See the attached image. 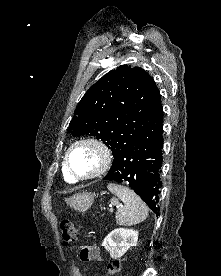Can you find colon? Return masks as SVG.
I'll use <instances>...</instances> for the list:
<instances>
[{
	"label": "colon",
	"instance_id": "colon-1",
	"mask_svg": "<svg viewBox=\"0 0 221 276\" xmlns=\"http://www.w3.org/2000/svg\"><path fill=\"white\" fill-rule=\"evenodd\" d=\"M61 238L63 245H69L77 241L79 230L77 223L73 220H63L60 223ZM121 264L118 260H112L107 265V276H114L120 270Z\"/></svg>",
	"mask_w": 221,
	"mask_h": 276
}]
</instances>
